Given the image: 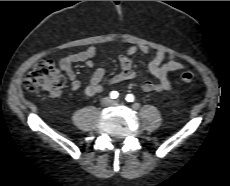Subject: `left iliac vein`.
Returning a JSON list of instances; mask_svg holds the SVG:
<instances>
[{"mask_svg":"<svg viewBox=\"0 0 230 186\" xmlns=\"http://www.w3.org/2000/svg\"><path fill=\"white\" fill-rule=\"evenodd\" d=\"M118 102H119L118 100L115 101V103H118Z\"/></svg>","mask_w":230,"mask_h":186,"instance_id":"left-iliac-vein-1","label":"left iliac vein"}]
</instances>
